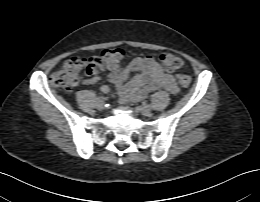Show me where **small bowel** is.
Masks as SVG:
<instances>
[{"mask_svg": "<svg viewBox=\"0 0 260 202\" xmlns=\"http://www.w3.org/2000/svg\"><path fill=\"white\" fill-rule=\"evenodd\" d=\"M106 77L116 88L123 103L141 100L161 88L173 94L178 92L174 77L165 73L161 65L150 55L133 58L122 67L110 68ZM101 79V74L95 70L88 74L83 84L93 85ZM99 90L108 93L110 88L108 85H101Z\"/></svg>", "mask_w": 260, "mask_h": 202, "instance_id": "small-bowel-1", "label": "small bowel"}]
</instances>
